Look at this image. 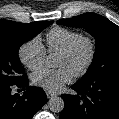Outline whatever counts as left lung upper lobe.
<instances>
[{
  "mask_svg": "<svg viewBox=\"0 0 119 119\" xmlns=\"http://www.w3.org/2000/svg\"><path fill=\"white\" fill-rule=\"evenodd\" d=\"M57 23L85 28L96 39L93 62L78 84L119 81V26L95 13L60 19Z\"/></svg>",
  "mask_w": 119,
  "mask_h": 119,
  "instance_id": "5c2ea615",
  "label": "left lung upper lobe"
}]
</instances>
